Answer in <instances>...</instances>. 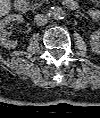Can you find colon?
Here are the masks:
<instances>
[{"instance_id":"1","label":"colon","mask_w":100,"mask_h":118,"mask_svg":"<svg viewBox=\"0 0 100 118\" xmlns=\"http://www.w3.org/2000/svg\"><path fill=\"white\" fill-rule=\"evenodd\" d=\"M91 16H92L93 18H97V17L99 16L98 10L93 9V10L91 11Z\"/></svg>"}]
</instances>
